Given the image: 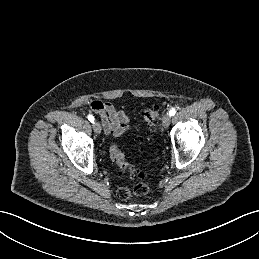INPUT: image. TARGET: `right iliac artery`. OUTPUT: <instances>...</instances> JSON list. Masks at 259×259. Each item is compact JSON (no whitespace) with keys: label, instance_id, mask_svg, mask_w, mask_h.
<instances>
[{"label":"right iliac artery","instance_id":"1","mask_svg":"<svg viewBox=\"0 0 259 259\" xmlns=\"http://www.w3.org/2000/svg\"><path fill=\"white\" fill-rule=\"evenodd\" d=\"M87 118H88V120H89L91 123L94 122V117H93V115L89 114V115L87 116Z\"/></svg>","mask_w":259,"mask_h":259}]
</instances>
